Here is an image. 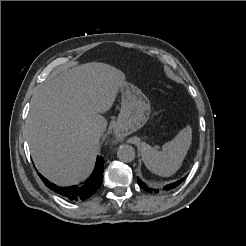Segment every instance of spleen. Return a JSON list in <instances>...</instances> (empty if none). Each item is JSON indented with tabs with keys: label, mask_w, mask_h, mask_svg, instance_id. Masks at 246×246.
I'll return each instance as SVG.
<instances>
[{
	"label": "spleen",
	"mask_w": 246,
	"mask_h": 246,
	"mask_svg": "<svg viewBox=\"0 0 246 246\" xmlns=\"http://www.w3.org/2000/svg\"><path fill=\"white\" fill-rule=\"evenodd\" d=\"M192 141L190 126L180 132L159 151L155 147L142 142L140 145L143 162L147 169L163 177L173 175L181 166Z\"/></svg>",
	"instance_id": "3e777b00"
}]
</instances>
